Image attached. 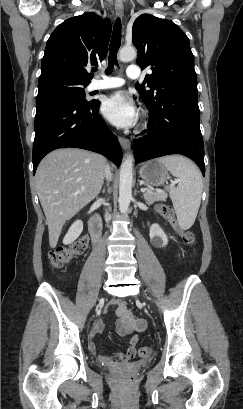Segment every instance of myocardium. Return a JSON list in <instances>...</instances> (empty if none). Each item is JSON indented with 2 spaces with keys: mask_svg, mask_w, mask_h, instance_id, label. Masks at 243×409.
Returning a JSON list of instances; mask_svg holds the SVG:
<instances>
[{
  "mask_svg": "<svg viewBox=\"0 0 243 409\" xmlns=\"http://www.w3.org/2000/svg\"><path fill=\"white\" fill-rule=\"evenodd\" d=\"M146 129H147V123L145 119L143 118L139 124L138 132H144Z\"/></svg>",
  "mask_w": 243,
  "mask_h": 409,
  "instance_id": "1",
  "label": "myocardium"
}]
</instances>
